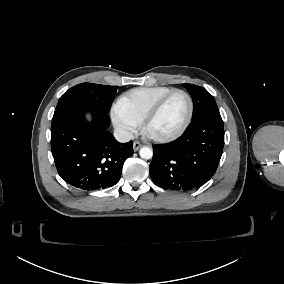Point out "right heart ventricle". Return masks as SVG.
Returning <instances> with one entry per match:
<instances>
[{"mask_svg": "<svg viewBox=\"0 0 284 284\" xmlns=\"http://www.w3.org/2000/svg\"><path fill=\"white\" fill-rule=\"evenodd\" d=\"M173 89L175 88L165 85L132 88L118 97L115 109L135 119L140 125V119L147 110Z\"/></svg>", "mask_w": 284, "mask_h": 284, "instance_id": "1", "label": "right heart ventricle"}]
</instances>
